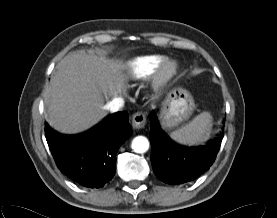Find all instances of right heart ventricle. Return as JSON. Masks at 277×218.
Here are the masks:
<instances>
[{
  "mask_svg": "<svg viewBox=\"0 0 277 218\" xmlns=\"http://www.w3.org/2000/svg\"><path fill=\"white\" fill-rule=\"evenodd\" d=\"M164 55H145L134 58L129 63V77L133 80L149 78L157 67L166 60Z\"/></svg>",
  "mask_w": 277,
  "mask_h": 218,
  "instance_id": "right-heart-ventricle-1",
  "label": "right heart ventricle"
}]
</instances>
